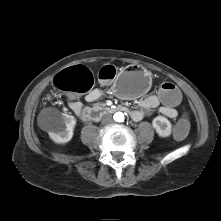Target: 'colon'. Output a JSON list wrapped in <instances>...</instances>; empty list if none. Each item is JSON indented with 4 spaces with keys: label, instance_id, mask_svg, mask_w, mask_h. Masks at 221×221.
<instances>
[{
    "label": "colon",
    "instance_id": "5ec220e1",
    "mask_svg": "<svg viewBox=\"0 0 221 221\" xmlns=\"http://www.w3.org/2000/svg\"><path fill=\"white\" fill-rule=\"evenodd\" d=\"M116 69L112 65H105L98 71V78L102 81L114 79ZM94 75L85 66L78 65L63 70L54 78L55 86L63 92L73 94L89 92L94 85ZM157 97L163 106L176 109L183 102V95L173 82H163L157 88ZM191 130V123L187 117H180L173 129V137L183 140Z\"/></svg>",
    "mask_w": 221,
    "mask_h": 221
}]
</instances>
